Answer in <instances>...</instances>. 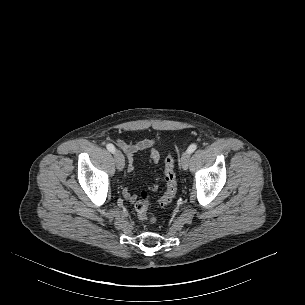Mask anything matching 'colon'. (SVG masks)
Listing matches in <instances>:
<instances>
[{
  "instance_id": "obj_1",
  "label": "colon",
  "mask_w": 305,
  "mask_h": 305,
  "mask_svg": "<svg viewBox=\"0 0 305 305\" xmlns=\"http://www.w3.org/2000/svg\"><path fill=\"white\" fill-rule=\"evenodd\" d=\"M165 181H166V189L163 195L158 199L156 205L158 206H167L170 204L178 190L176 174L174 170V159L171 155H168L165 159V167H164ZM151 206V202L149 200V194L147 191H141L139 195V199L135 203V211L138 218L142 221L154 223L155 218L149 215V208Z\"/></svg>"
}]
</instances>
